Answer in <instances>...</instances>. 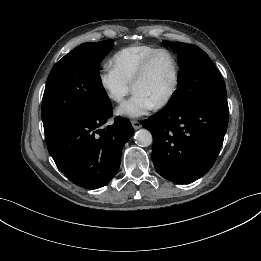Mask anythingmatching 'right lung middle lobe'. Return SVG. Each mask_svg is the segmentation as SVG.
<instances>
[{"label": "right lung middle lobe", "mask_w": 261, "mask_h": 261, "mask_svg": "<svg viewBox=\"0 0 261 261\" xmlns=\"http://www.w3.org/2000/svg\"><path fill=\"white\" fill-rule=\"evenodd\" d=\"M114 43H83L52 68L42 99L45 136L62 126L100 115L110 103L101 88L99 63Z\"/></svg>", "instance_id": "obj_1"}]
</instances>
